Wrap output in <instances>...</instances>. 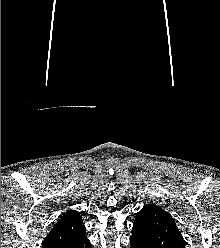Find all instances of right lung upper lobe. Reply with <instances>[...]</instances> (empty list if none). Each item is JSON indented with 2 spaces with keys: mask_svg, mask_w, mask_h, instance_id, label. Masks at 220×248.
I'll return each instance as SVG.
<instances>
[{
  "mask_svg": "<svg viewBox=\"0 0 220 248\" xmlns=\"http://www.w3.org/2000/svg\"><path fill=\"white\" fill-rule=\"evenodd\" d=\"M85 230L79 212L70 210L60 217L45 237L42 248H69L87 239Z\"/></svg>",
  "mask_w": 220,
  "mask_h": 248,
  "instance_id": "1",
  "label": "right lung upper lobe"
}]
</instances>
